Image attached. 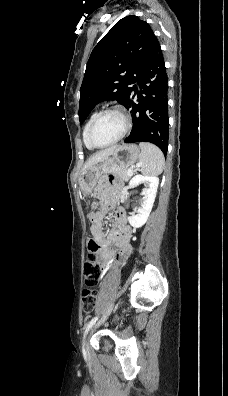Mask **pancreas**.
<instances>
[{"instance_id": "pancreas-1", "label": "pancreas", "mask_w": 228, "mask_h": 396, "mask_svg": "<svg viewBox=\"0 0 228 396\" xmlns=\"http://www.w3.org/2000/svg\"><path fill=\"white\" fill-rule=\"evenodd\" d=\"M129 170L126 167L119 166V165H112L106 169V173H113L120 176L124 181H128L132 174H129Z\"/></svg>"}]
</instances>
